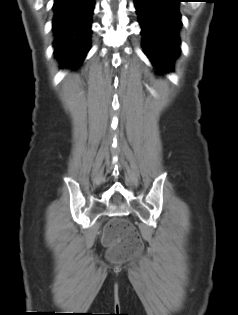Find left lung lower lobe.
Segmentation results:
<instances>
[{"label": "left lung lower lobe", "mask_w": 238, "mask_h": 315, "mask_svg": "<svg viewBox=\"0 0 238 315\" xmlns=\"http://www.w3.org/2000/svg\"><path fill=\"white\" fill-rule=\"evenodd\" d=\"M142 28L145 54L159 73L173 71L180 53L182 0H133Z\"/></svg>", "instance_id": "1"}]
</instances>
